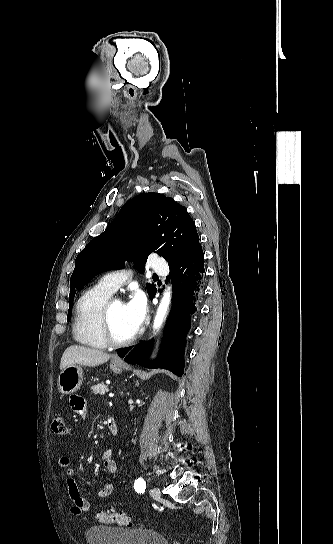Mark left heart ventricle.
Returning <instances> with one entry per match:
<instances>
[{
  "label": "left heart ventricle",
  "mask_w": 333,
  "mask_h": 544,
  "mask_svg": "<svg viewBox=\"0 0 333 544\" xmlns=\"http://www.w3.org/2000/svg\"><path fill=\"white\" fill-rule=\"evenodd\" d=\"M110 321L113 333L119 339L128 338L136 332L130 324L125 304L121 301L113 304L110 312Z\"/></svg>",
  "instance_id": "b2bd125f"
}]
</instances>
